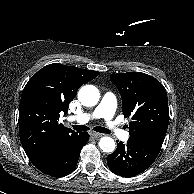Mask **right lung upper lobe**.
Instances as JSON below:
<instances>
[{
    "mask_svg": "<svg viewBox=\"0 0 194 194\" xmlns=\"http://www.w3.org/2000/svg\"><path fill=\"white\" fill-rule=\"evenodd\" d=\"M98 74L55 63L43 67L28 81L19 105V135L30 161L61 138L76 133L59 123L60 112L66 114L78 89Z\"/></svg>",
    "mask_w": 194,
    "mask_h": 194,
    "instance_id": "obj_1",
    "label": "right lung upper lobe"
}]
</instances>
